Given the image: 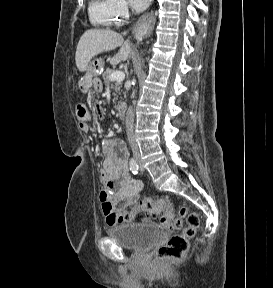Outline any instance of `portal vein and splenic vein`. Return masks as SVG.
Returning a JSON list of instances; mask_svg holds the SVG:
<instances>
[{
    "label": "portal vein and splenic vein",
    "mask_w": 273,
    "mask_h": 288,
    "mask_svg": "<svg viewBox=\"0 0 273 288\" xmlns=\"http://www.w3.org/2000/svg\"><path fill=\"white\" fill-rule=\"evenodd\" d=\"M125 79V74L122 71H114L110 75V81H123Z\"/></svg>",
    "instance_id": "18ae733b"
}]
</instances>
